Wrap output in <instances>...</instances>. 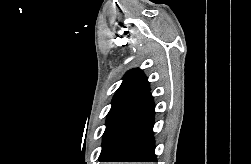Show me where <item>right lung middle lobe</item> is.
Listing matches in <instances>:
<instances>
[{
    "instance_id": "1",
    "label": "right lung middle lobe",
    "mask_w": 251,
    "mask_h": 164,
    "mask_svg": "<svg viewBox=\"0 0 251 164\" xmlns=\"http://www.w3.org/2000/svg\"><path fill=\"white\" fill-rule=\"evenodd\" d=\"M143 93L136 91H118L112 101V107L107 115L106 130L103 135V142L109 135L116 121L135 104Z\"/></svg>"
}]
</instances>
